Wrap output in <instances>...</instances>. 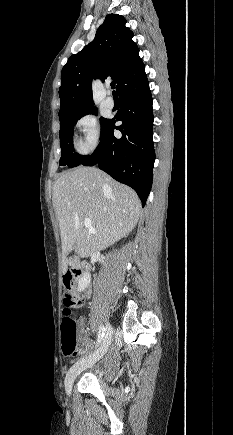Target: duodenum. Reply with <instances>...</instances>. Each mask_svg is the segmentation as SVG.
Instances as JSON below:
<instances>
[{"mask_svg": "<svg viewBox=\"0 0 233 435\" xmlns=\"http://www.w3.org/2000/svg\"><path fill=\"white\" fill-rule=\"evenodd\" d=\"M87 269V264L79 257H74L72 262V272L74 275H81Z\"/></svg>", "mask_w": 233, "mask_h": 435, "instance_id": "410a0bca", "label": "duodenum"}]
</instances>
